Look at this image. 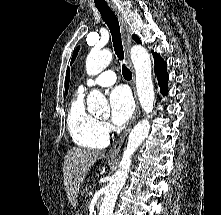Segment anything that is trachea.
Listing matches in <instances>:
<instances>
[{
    "mask_svg": "<svg viewBox=\"0 0 221 215\" xmlns=\"http://www.w3.org/2000/svg\"><path fill=\"white\" fill-rule=\"evenodd\" d=\"M95 5L102 16L103 21L107 24L111 32L112 42L117 57L119 58V60L123 61L124 50L122 45L118 19L114 14V12L110 9V7L106 3H96ZM122 74L123 77L127 80L132 78L131 71L124 64L122 65Z\"/></svg>",
    "mask_w": 221,
    "mask_h": 215,
    "instance_id": "1",
    "label": "trachea"
}]
</instances>
